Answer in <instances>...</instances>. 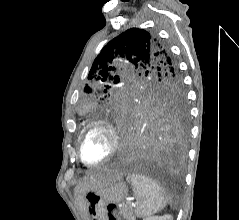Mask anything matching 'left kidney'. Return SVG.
Wrapping results in <instances>:
<instances>
[{
	"mask_svg": "<svg viewBox=\"0 0 239 220\" xmlns=\"http://www.w3.org/2000/svg\"><path fill=\"white\" fill-rule=\"evenodd\" d=\"M143 220H173V217L171 215L149 216L144 218Z\"/></svg>",
	"mask_w": 239,
	"mask_h": 220,
	"instance_id": "obj_1",
	"label": "left kidney"
}]
</instances>
